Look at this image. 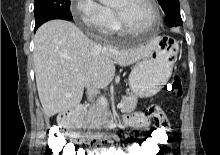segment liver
Here are the masks:
<instances>
[{
  "label": "liver",
  "instance_id": "1",
  "mask_svg": "<svg viewBox=\"0 0 220 155\" xmlns=\"http://www.w3.org/2000/svg\"><path fill=\"white\" fill-rule=\"evenodd\" d=\"M34 69L46 118L78 106L84 87L104 89L113 80L115 65L128 66L151 54L157 44L118 50L90 40L65 20L44 23L35 34ZM71 93L70 97L66 94Z\"/></svg>",
  "mask_w": 220,
  "mask_h": 155
}]
</instances>
